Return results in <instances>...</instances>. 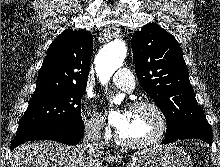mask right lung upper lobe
Listing matches in <instances>:
<instances>
[{"label":"right lung upper lobe","mask_w":220,"mask_h":167,"mask_svg":"<svg viewBox=\"0 0 220 167\" xmlns=\"http://www.w3.org/2000/svg\"><path fill=\"white\" fill-rule=\"evenodd\" d=\"M93 49L92 34L72 29L62 32L49 46L32 98L68 87H85Z\"/></svg>","instance_id":"cb5924a9"}]
</instances>
